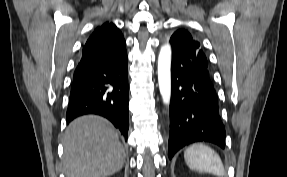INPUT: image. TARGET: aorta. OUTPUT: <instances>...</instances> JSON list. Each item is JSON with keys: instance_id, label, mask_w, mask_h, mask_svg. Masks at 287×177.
I'll use <instances>...</instances> for the list:
<instances>
[{"instance_id": "aorta-1", "label": "aorta", "mask_w": 287, "mask_h": 177, "mask_svg": "<svg viewBox=\"0 0 287 177\" xmlns=\"http://www.w3.org/2000/svg\"><path fill=\"white\" fill-rule=\"evenodd\" d=\"M171 47H161L158 56V83L163 102L169 104L171 97Z\"/></svg>"}]
</instances>
